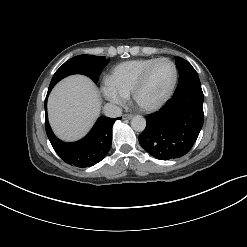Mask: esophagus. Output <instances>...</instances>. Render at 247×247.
<instances>
[{"label": "esophagus", "instance_id": "obj_1", "mask_svg": "<svg viewBox=\"0 0 247 247\" xmlns=\"http://www.w3.org/2000/svg\"><path fill=\"white\" fill-rule=\"evenodd\" d=\"M122 117H123V119H131L132 115L131 114H124Z\"/></svg>", "mask_w": 247, "mask_h": 247}]
</instances>
